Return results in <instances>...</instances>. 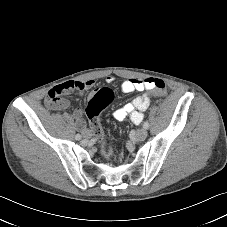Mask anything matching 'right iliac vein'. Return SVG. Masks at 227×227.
Masks as SVG:
<instances>
[{
    "label": "right iliac vein",
    "instance_id": "63e3f726",
    "mask_svg": "<svg viewBox=\"0 0 227 227\" xmlns=\"http://www.w3.org/2000/svg\"><path fill=\"white\" fill-rule=\"evenodd\" d=\"M84 137L90 138V137H91V132H90V131H86V132L84 133Z\"/></svg>",
    "mask_w": 227,
    "mask_h": 227
}]
</instances>
